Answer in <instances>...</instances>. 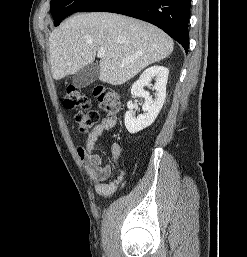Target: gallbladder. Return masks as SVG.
Masks as SVG:
<instances>
[{
  "mask_svg": "<svg viewBox=\"0 0 247 257\" xmlns=\"http://www.w3.org/2000/svg\"><path fill=\"white\" fill-rule=\"evenodd\" d=\"M99 73L100 68L98 63H90L73 75L72 82L76 87L84 88L96 81Z\"/></svg>",
  "mask_w": 247,
  "mask_h": 257,
  "instance_id": "1",
  "label": "gallbladder"
}]
</instances>
